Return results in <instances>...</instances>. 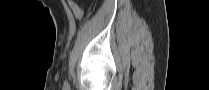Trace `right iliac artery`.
I'll list each match as a JSON object with an SVG mask.
<instances>
[{"instance_id": "obj_1", "label": "right iliac artery", "mask_w": 209, "mask_h": 90, "mask_svg": "<svg viewBox=\"0 0 209 90\" xmlns=\"http://www.w3.org/2000/svg\"><path fill=\"white\" fill-rule=\"evenodd\" d=\"M64 90H69V84L68 82L65 81L64 83Z\"/></svg>"}]
</instances>
